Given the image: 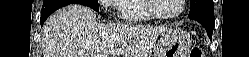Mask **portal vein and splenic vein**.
Instances as JSON below:
<instances>
[{"mask_svg":"<svg viewBox=\"0 0 249 57\" xmlns=\"http://www.w3.org/2000/svg\"><path fill=\"white\" fill-rule=\"evenodd\" d=\"M117 53L123 54V51H119V52H117Z\"/></svg>","mask_w":249,"mask_h":57,"instance_id":"obj_1","label":"portal vein and splenic vein"}]
</instances>
